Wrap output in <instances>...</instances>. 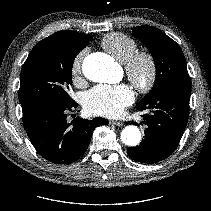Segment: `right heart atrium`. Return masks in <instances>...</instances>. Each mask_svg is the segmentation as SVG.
I'll return each instance as SVG.
<instances>
[{
  "instance_id": "right-heart-atrium-1",
  "label": "right heart atrium",
  "mask_w": 211,
  "mask_h": 211,
  "mask_svg": "<svg viewBox=\"0 0 211 211\" xmlns=\"http://www.w3.org/2000/svg\"><path fill=\"white\" fill-rule=\"evenodd\" d=\"M87 54V49H82L73 58L71 63V74L74 83H79L82 79V64Z\"/></svg>"
}]
</instances>
